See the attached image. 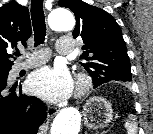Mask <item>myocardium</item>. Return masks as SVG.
Masks as SVG:
<instances>
[{
	"label": "myocardium",
	"instance_id": "1",
	"mask_svg": "<svg viewBox=\"0 0 153 134\" xmlns=\"http://www.w3.org/2000/svg\"><path fill=\"white\" fill-rule=\"evenodd\" d=\"M92 87V78L87 72H80L75 83V96L82 97L88 93Z\"/></svg>",
	"mask_w": 153,
	"mask_h": 134
}]
</instances>
